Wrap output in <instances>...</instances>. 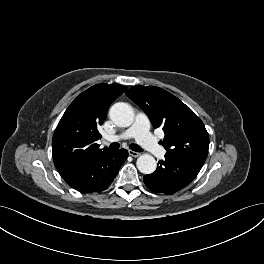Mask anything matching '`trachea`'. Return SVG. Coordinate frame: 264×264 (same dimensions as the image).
I'll return each instance as SVG.
<instances>
[{
  "mask_svg": "<svg viewBox=\"0 0 264 264\" xmlns=\"http://www.w3.org/2000/svg\"><path fill=\"white\" fill-rule=\"evenodd\" d=\"M111 149H118L120 147L119 143H112L109 146ZM129 148L135 152H142V148L140 146H138L137 144H130Z\"/></svg>",
  "mask_w": 264,
  "mask_h": 264,
  "instance_id": "trachea-1",
  "label": "trachea"
}]
</instances>
